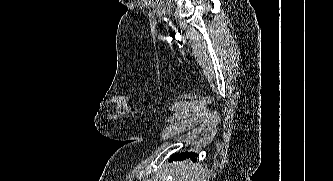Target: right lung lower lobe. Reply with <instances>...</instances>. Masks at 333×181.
<instances>
[{"mask_svg":"<svg viewBox=\"0 0 333 181\" xmlns=\"http://www.w3.org/2000/svg\"><path fill=\"white\" fill-rule=\"evenodd\" d=\"M197 155L195 154V153H188V152H186V153H181L180 155L179 154H176V155H173L172 156V158H179V159H184L185 157H190V158H192V157H196ZM194 160V159H193Z\"/></svg>","mask_w":333,"mask_h":181,"instance_id":"obj_1","label":"right lung lower lobe"}]
</instances>
